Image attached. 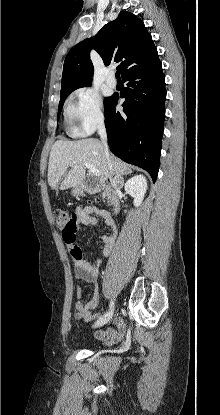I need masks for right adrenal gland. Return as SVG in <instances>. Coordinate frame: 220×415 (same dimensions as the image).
I'll return each mask as SVG.
<instances>
[{
    "label": "right adrenal gland",
    "instance_id": "1",
    "mask_svg": "<svg viewBox=\"0 0 220 415\" xmlns=\"http://www.w3.org/2000/svg\"><path fill=\"white\" fill-rule=\"evenodd\" d=\"M131 173V171H129L128 173H126L125 175H128V174H130ZM122 177V176H121Z\"/></svg>",
    "mask_w": 220,
    "mask_h": 415
}]
</instances>
